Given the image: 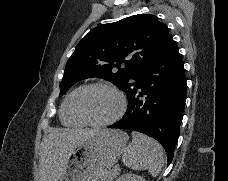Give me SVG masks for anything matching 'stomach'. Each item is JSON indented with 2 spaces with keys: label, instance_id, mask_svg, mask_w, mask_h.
Masks as SVG:
<instances>
[{
  "label": "stomach",
  "instance_id": "stomach-1",
  "mask_svg": "<svg viewBox=\"0 0 228 181\" xmlns=\"http://www.w3.org/2000/svg\"><path fill=\"white\" fill-rule=\"evenodd\" d=\"M124 131H95L73 149L61 181H108L128 143Z\"/></svg>",
  "mask_w": 228,
  "mask_h": 181
}]
</instances>
